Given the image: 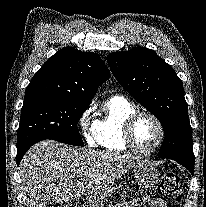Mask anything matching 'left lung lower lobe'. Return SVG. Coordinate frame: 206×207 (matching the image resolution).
Listing matches in <instances>:
<instances>
[{"instance_id": "0a47b994", "label": "left lung lower lobe", "mask_w": 206, "mask_h": 207, "mask_svg": "<svg viewBox=\"0 0 206 207\" xmlns=\"http://www.w3.org/2000/svg\"><path fill=\"white\" fill-rule=\"evenodd\" d=\"M178 163L183 165L184 167H186L193 175V173H194V164L193 163L184 162V161H179Z\"/></svg>"}]
</instances>
